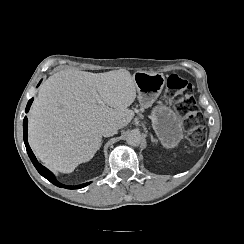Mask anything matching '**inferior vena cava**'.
Masks as SVG:
<instances>
[{"instance_id":"obj_1","label":"inferior vena cava","mask_w":244,"mask_h":244,"mask_svg":"<svg viewBox=\"0 0 244 244\" xmlns=\"http://www.w3.org/2000/svg\"><path fill=\"white\" fill-rule=\"evenodd\" d=\"M118 131V125L114 122H110L101 127V133L103 136H112Z\"/></svg>"}]
</instances>
